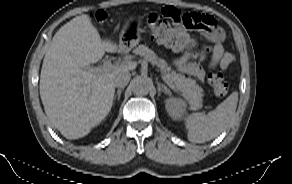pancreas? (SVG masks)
<instances>
[{"label": "pancreas", "mask_w": 292, "mask_h": 184, "mask_svg": "<svg viewBox=\"0 0 292 184\" xmlns=\"http://www.w3.org/2000/svg\"><path fill=\"white\" fill-rule=\"evenodd\" d=\"M135 53L143 57L146 61L157 65L161 69L168 84L174 86L182 94L192 110H197L202 107L203 89L196 84L195 80L186 78L184 75L173 71L165 60L158 58L154 51L145 45H139L135 49Z\"/></svg>", "instance_id": "pancreas-1"}]
</instances>
